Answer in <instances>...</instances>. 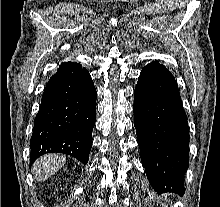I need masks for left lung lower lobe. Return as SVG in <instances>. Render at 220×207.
I'll return each mask as SVG.
<instances>
[{
  "label": "left lung lower lobe",
  "instance_id": "0a47b994",
  "mask_svg": "<svg viewBox=\"0 0 220 207\" xmlns=\"http://www.w3.org/2000/svg\"><path fill=\"white\" fill-rule=\"evenodd\" d=\"M140 157L155 191L184 194L189 128L177 83L157 61L143 68L134 91Z\"/></svg>",
  "mask_w": 220,
  "mask_h": 207
}]
</instances>
